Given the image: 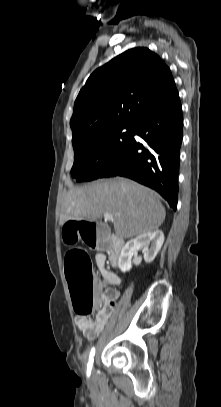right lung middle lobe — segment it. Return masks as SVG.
<instances>
[{"instance_id":"dd1d6c3e","label":"right lung middle lobe","mask_w":221,"mask_h":407,"mask_svg":"<svg viewBox=\"0 0 221 407\" xmlns=\"http://www.w3.org/2000/svg\"><path fill=\"white\" fill-rule=\"evenodd\" d=\"M134 124L111 127L73 144L74 165L71 175L78 182L100 178L130 144Z\"/></svg>"}]
</instances>
